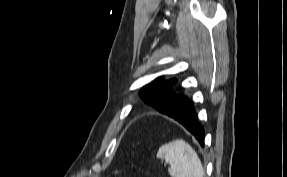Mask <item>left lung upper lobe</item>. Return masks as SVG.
I'll use <instances>...</instances> for the list:
<instances>
[{"instance_id": "obj_1", "label": "left lung upper lobe", "mask_w": 287, "mask_h": 177, "mask_svg": "<svg viewBox=\"0 0 287 177\" xmlns=\"http://www.w3.org/2000/svg\"><path fill=\"white\" fill-rule=\"evenodd\" d=\"M176 79L165 80L163 76L158 77L152 83L140 90L141 98L159 112L169 115L174 111L175 104L171 101L179 94H176L172 86Z\"/></svg>"}]
</instances>
